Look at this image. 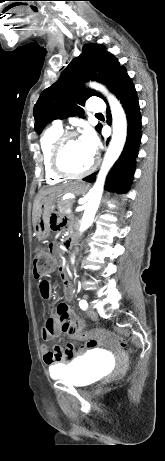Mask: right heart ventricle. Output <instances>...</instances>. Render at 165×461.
Wrapping results in <instances>:
<instances>
[{"label":"right heart ventricle","instance_id":"obj_1","mask_svg":"<svg viewBox=\"0 0 165 461\" xmlns=\"http://www.w3.org/2000/svg\"><path fill=\"white\" fill-rule=\"evenodd\" d=\"M62 128L52 126L48 128L40 139V151L43 160L45 178L49 183H58L63 177L55 174L50 167V151L54 141L61 135Z\"/></svg>","mask_w":165,"mask_h":461}]
</instances>
